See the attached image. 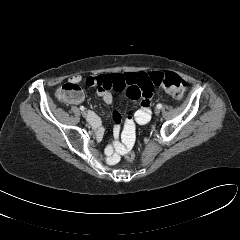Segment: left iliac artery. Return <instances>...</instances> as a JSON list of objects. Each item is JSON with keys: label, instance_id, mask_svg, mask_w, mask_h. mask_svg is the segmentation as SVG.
<instances>
[{"label": "left iliac artery", "instance_id": "left-iliac-artery-1", "mask_svg": "<svg viewBox=\"0 0 240 240\" xmlns=\"http://www.w3.org/2000/svg\"><path fill=\"white\" fill-rule=\"evenodd\" d=\"M157 109H161L162 108V104L161 103H159V104H157Z\"/></svg>", "mask_w": 240, "mask_h": 240}]
</instances>
